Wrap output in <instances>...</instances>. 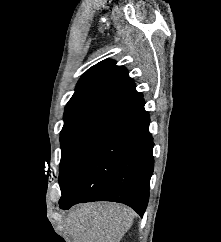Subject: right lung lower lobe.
Segmentation results:
<instances>
[{
    "mask_svg": "<svg viewBox=\"0 0 221 242\" xmlns=\"http://www.w3.org/2000/svg\"><path fill=\"white\" fill-rule=\"evenodd\" d=\"M140 98L100 124L80 145L59 178L61 209L81 202L113 201L143 216L153 173L149 114Z\"/></svg>",
    "mask_w": 221,
    "mask_h": 242,
    "instance_id": "right-lung-lower-lobe-1",
    "label": "right lung lower lobe"
}]
</instances>
